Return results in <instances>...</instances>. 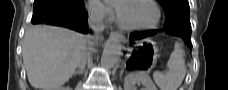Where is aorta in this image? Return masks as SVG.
Segmentation results:
<instances>
[{
	"label": "aorta",
	"instance_id": "aorta-1",
	"mask_svg": "<svg viewBox=\"0 0 228 90\" xmlns=\"http://www.w3.org/2000/svg\"><path fill=\"white\" fill-rule=\"evenodd\" d=\"M121 55V44L118 37H111L105 44L101 57V65L104 68H112L118 63Z\"/></svg>",
	"mask_w": 228,
	"mask_h": 90
}]
</instances>
